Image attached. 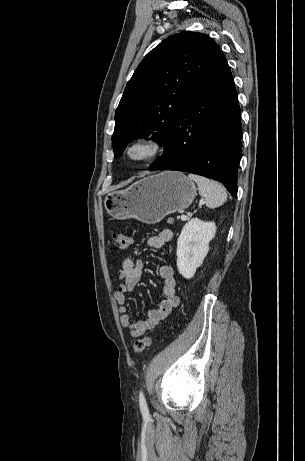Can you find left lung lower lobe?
<instances>
[{"instance_id":"obj_1","label":"left lung lower lobe","mask_w":305,"mask_h":461,"mask_svg":"<svg viewBox=\"0 0 305 461\" xmlns=\"http://www.w3.org/2000/svg\"><path fill=\"white\" fill-rule=\"evenodd\" d=\"M241 139L238 97L222 53L192 90L172 123L163 155L149 170L202 175L223 183L236 198Z\"/></svg>"}]
</instances>
